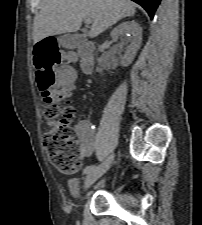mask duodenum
<instances>
[{
    "mask_svg": "<svg viewBox=\"0 0 202 225\" xmlns=\"http://www.w3.org/2000/svg\"><path fill=\"white\" fill-rule=\"evenodd\" d=\"M95 45L91 42H85L79 49V57L81 61L82 71L89 74L94 69Z\"/></svg>",
    "mask_w": 202,
    "mask_h": 225,
    "instance_id": "1",
    "label": "duodenum"
}]
</instances>
